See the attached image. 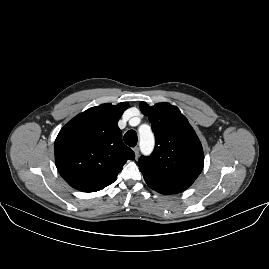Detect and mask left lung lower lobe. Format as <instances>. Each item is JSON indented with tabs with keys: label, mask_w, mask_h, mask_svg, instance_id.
I'll return each mask as SVG.
<instances>
[{
	"label": "left lung lower lobe",
	"mask_w": 269,
	"mask_h": 269,
	"mask_svg": "<svg viewBox=\"0 0 269 269\" xmlns=\"http://www.w3.org/2000/svg\"><path fill=\"white\" fill-rule=\"evenodd\" d=\"M145 181L150 188L161 194H176L188 188L184 185L161 183L151 179H145Z\"/></svg>",
	"instance_id": "1"
}]
</instances>
